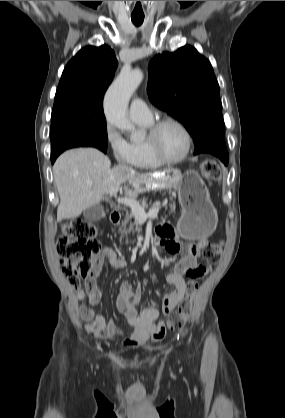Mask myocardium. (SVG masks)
<instances>
[{
    "instance_id": "myocardium-1",
    "label": "myocardium",
    "mask_w": 285,
    "mask_h": 418,
    "mask_svg": "<svg viewBox=\"0 0 285 418\" xmlns=\"http://www.w3.org/2000/svg\"><path fill=\"white\" fill-rule=\"evenodd\" d=\"M167 124H173L179 127L183 131L186 137L185 151L180 157L175 158V159L166 157L157 144L158 134L160 130ZM146 144L148 146V149L151 155L156 160L160 161L163 164H178L186 160V158L189 156L191 149H192L193 140H192V135L189 129L181 121L172 117H165L154 122L150 126L149 132L146 137Z\"/></svg>"
}]
</instances>
